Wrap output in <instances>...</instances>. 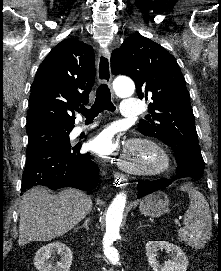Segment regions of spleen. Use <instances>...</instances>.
I'll return each mask as SVG.
<instances>
[{
    "label": "spleen",
    "mask_w": 221,
    "mask_h": 271,
    "mask_svg": "<svg viewBox=\"0 0 221 271\" xmlns=\"http://www.w3.org/2000/svg\"><path fill=\"white\" fill-rule=\"evenodd\" d=\"M184 227L178 231L179 241L194 249H202L212 235V217L208 201L200 191L190 193V205L184 213Z\"/></svg>",
    "instance_id": "3e777b00"
}]
</instances>
